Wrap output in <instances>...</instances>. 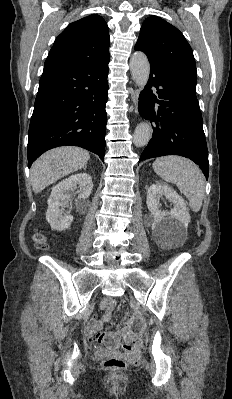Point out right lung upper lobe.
I'll list each match as a JSON object with an SVG mask.
<instances>
[{
  "mask_svg": "<svg viewBox=\"0 0 232 399\" xmlns=\"http://www.w3.org/2000/svg\"><path fill=\"white\" fill-rule=\"evenodd\" d=\"M109 32L105 20L90 15L67 26L56 38L44 66H70L109 58Z\"/></svg>",
  "mask_w": 232,
  "mask_h": 399,
  "instance_id": "1",
  "label": "right lung upper lobe"
}]
</instances>
